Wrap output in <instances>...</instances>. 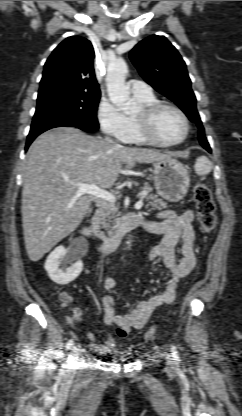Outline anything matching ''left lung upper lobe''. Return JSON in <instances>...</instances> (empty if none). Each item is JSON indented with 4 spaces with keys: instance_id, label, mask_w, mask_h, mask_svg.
<instances>
[{
    "instance_id": "left-lung-upper-lobe-1",
    "label": "left lung upper lobe",
    "mask_w": 242,
    "mask_h": 416,
    "mask_svg": "<svg viewBox=\"0 0 242 416\" xmlns=\"http://www.w3.org/2000/svg\"><path fill=\"white\" fill-rule=\"evenodd\" d=\"M130 59L148 84L175 102L197 124L199 141L201 144L206 142L191 80L177 49L164 36L152 35L131 50Z\"/></svg>"
}]
</instances>
